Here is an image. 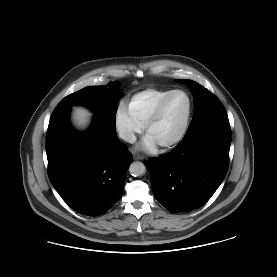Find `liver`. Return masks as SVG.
<instances>
[{
    "instance_id": "liver-1",
    "label": "liver",
    "mask_w": 277,
    "mask_h": 277,
    "mask_svg": "<svg viewBox=\"0 0 277 277\" xmlns=\"http://www.w3.org/2000/svg\"><path fill=\"white\" fill-rule=\"evenodd\" d=\"M90 117L91 113L83 107H76L73 110L74 123L80 128H84L88 125Z\"/></svg>"
}]
</instances>
